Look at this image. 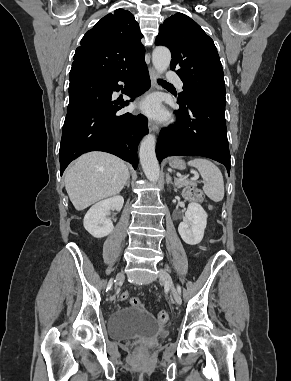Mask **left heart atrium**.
<instances>
[{
  "mask_svg": "<svg viewBox=\"0 0 291 381\" xmlns=\"http://www.w3.org/2000/svg\"><path fill=\"white\" fill-rule=\"evenodd\" d=\"M140 109L152 118H163L165 112L157 97H148L140 103Z\"/></svg>",
  "mask_w": 291,
  "mask_h": 381,
  "instance_id": "1",
  "label": "left heart atrium"
}]
</instances>
